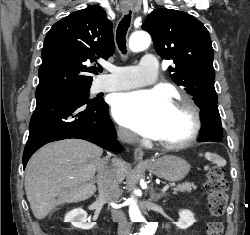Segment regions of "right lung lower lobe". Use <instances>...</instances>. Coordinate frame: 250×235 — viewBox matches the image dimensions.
<instances>
[{
  "mask_svg": "<svg viewBox=\"0 0 250 235\" xmlns=\"http://www.w3.org/2000/svg\"><path fill=\"white\" fill-rule=\"evenodd\" d=\"M36 99L23 154L24 167L40 147L67 138L84 139L104 149L120 151L108 105L103 99H89L76 92L43 95Z\"/></svg>",
  "mask_w": 250,
  "mask_h": 235,
  "instance_id": "98d812e1",
  "label": "right lung lower lobe"
}]
</instances>
